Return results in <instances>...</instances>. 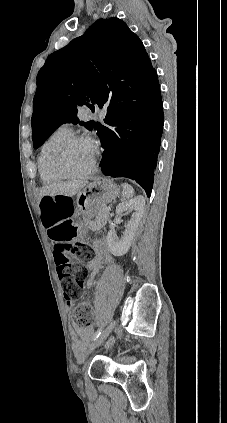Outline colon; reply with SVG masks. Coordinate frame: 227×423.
I'll return each instance as SVG.
<instances>
[{
  "instance_id": "5ec220e1",
  "label": "colon",
  "mask_w": 227,
  "mask_h": 423,
  "mask_svg": "<svg viewBox=\"0 0 227 423\" xmlns=\"http://www.w3.org/2000/svg\"><path fill=\"white\" fill-rule=\"evenodd\" d=\"M42 218L44 225H53L61 220L70 219L73 208L71 203L62 196H46L42 200ZM54 259L62 283L63 295L66 301H76L81 297V289L88 278V270L82 264H75L72 255L75 254L82 261H91L94 256L84 243L68 244L76 232L72 221L67 222L55 230ZM92 306L81 302L73 312L74 323L80 327L92 325Z\"/></svg>"
}]
</instances>
